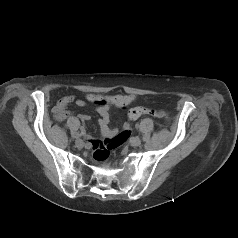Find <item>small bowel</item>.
I'll return each mask as SVG.
<instances>
[{"label": "small bowel", "instance_id": "small-bowel-1", "mask_svg": "<svg viewBox=\"0 0 238 238\" xmlns=\"http://www.w3.org/2000/svg\"><path fill=\"white\" fill-rule=\"evenodd\" d=\"M131 98L129 96L124 95H116L113 97L103 96L100 94L89 93L86 95V100L83 99H76L74 96H66L62 98L57 105L54 107L53 112L57 120L63 121L67 119L71 114L67 110L68 106L71 104H76L79 107L86 106L87 102H92L97 105L96 111L100 115L99 119V128L101 135L106 138H111L118 134L117 129H110L109 122V110L112 106L117 107H126L130 104ZM78 118L82 121H87L90 119L89 115L80 114ZM137 119V118H136ZM96 140H90V143L93 145Z\"/></svg>", "mask_w": 238, "mask_h": 238}]
</instances>
